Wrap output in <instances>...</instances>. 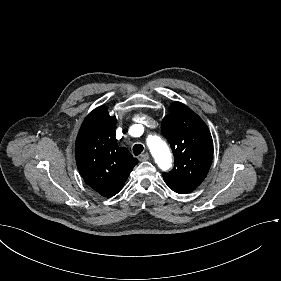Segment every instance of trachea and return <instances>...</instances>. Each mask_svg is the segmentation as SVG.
<instances>
[{
  "instance_id": "trachea-1",
  "label": "trachea",
  "mask_w": 281,
  "mask_h": 281,
  "mask_svg": "<svg viewBox=\"0 0 281 281\" xmlns=\"http://www.w3.org/2000/svg\"><path fill=\"white\" fill-rule=\"evenodd\" d=\"M143 149H144L143 145L135 144L133 146V153H134V155H136V156L140 155L142 153Z\"/></svg>"
}]
</instances>
